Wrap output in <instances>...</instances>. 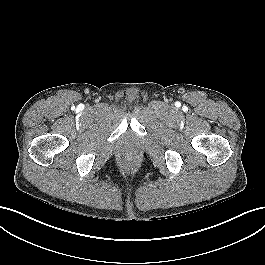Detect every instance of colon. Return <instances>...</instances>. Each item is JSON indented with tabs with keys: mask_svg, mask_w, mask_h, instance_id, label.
Instances as JSON below:
<instances>
[{
	"mask_svg": "<svg viewBox=\"0 0 265 265\" xmlns=\"http://www.w3.org/2000/svg\"><path fill=\"white\" fill-rule=\"evenodd\" d=\"M128 161H131V156H128V159H127Z\"/></svg>",
	"mask_w": 265,
	"mask_h": 265,
	"instance_id": "1",
	"label": "colon"
}]
</instances>
